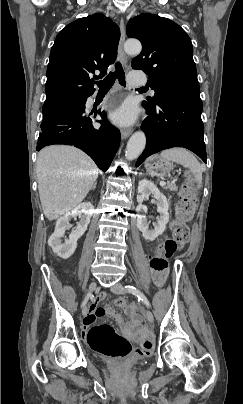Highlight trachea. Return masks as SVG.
Instances as JSON below:
<instances>
[{
    "label": "trachea",
    "instance_id": "1",
    "mask_svg": "<svg viewBox=\"0 0 243 404\" xmlns=\"http://www.w3.org/2000/svg\"><path fill=\"white\" fill-rule=\"evenodd\" d=\"M116 78L119 80V83L121 85H123L124 87L126 86L125 72L123 70L121 63H119V62H117L115 65V72H110L107 75V77H105L103 80H100V82H97L99 91L110 90L112 85L114 84ZM141 88H143V87H141Z\"/></svg>",
    "mask_w": 243,
    "mask_h": 404
}]
</instances>
